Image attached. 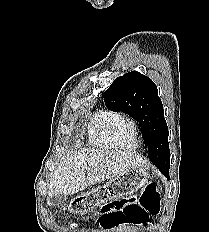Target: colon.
Instances as JSON below:
<instances>
[{
  "instance_id": "1",
  "label": "colon",
  "mask_w": 209,
  "mask_h": 232,
  "mask_svg": "<svg viewBox=\"0 0 209 232\" xmlns=\"http://www.w3.org/2000/svg\"><path fill=\"white\" fill-rule=\"evenodd\" d=\"M99 221L102 226L146 225L160 212V194L154 183H147L138 196H131L101 207ZM81 212V211H79Z\"/></svg>"
}]
</instances>
